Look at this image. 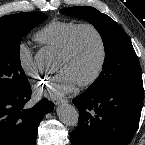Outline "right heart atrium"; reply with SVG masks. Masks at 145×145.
<instances>
[{"instance_id":"obj_1","label":"right heart atrium","mask_w":145,"mask_h":145,"mask_svg":"<svg viewBox=\"0 0 145 145\" xmlns=\"http://www.w3.org/2000/svg\"><path fill=\"white\" fill-rule=\"evenodd\" d=\"M17 61L26 76L39 79L40 70L35 64L33 51L26 42H21L17 47Z\"/></svg>"}]
</instances>
